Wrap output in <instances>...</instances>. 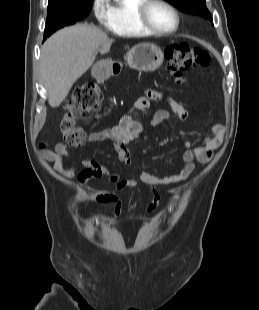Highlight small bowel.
I'll return each instance as SVG.
<instances>
[{"label": "small bowel", "instance_id": "obj_1", "mask_svg": "<svg viewBox=\"0 0 259 310\" xmlns=\"http://www.w3.org/2000/svg\"><path fill=\"white\" fill-rule=\"evenodd\" d=\"M165 101L170 106L172 112L180 119L188 118L189 113L185 107L175 100L166 97L163 94L150 92L138 99L132 108L121 114L116 123L109 127L94 131L89 134L87 143H110L117 153L118 163L120 165H130L131 156L127 149V144L135 140L142 132L143 126L135 119V116L143 114L147 111L149 104L154 100ZM170 120V114L166 110H159L155 113L151 120L154 127L167 124ZM213 135L206 137L202 145L191 149V143L185 141L183 143L186 151L183 154V167L173 175H155L147 171H140L137 177L121 178L119 169L109 172L107 166L94 158L85 159L80 163L66 166L64 159L70 156V147L65 144L58 143L52 149L46 144L40 145V157L54 164V169L65 178H77L78 183L82 187H87L88 181L94 178L108 177L109 181L115 185L116 191L113 193H105L92 191L91 196L98 202L111 204L113 206V214L108 216V220L114 224L122 213V203L119 193L126 188L134 187L138 182H143L152 188L153 199L147 210L149 212L155 210L160 202V195L157 188L165 185H172L186 180L195 169V161L200 163H208L214 152L221 146L224 137V127L221 124H215L212 127Z\"/></svg>", "mask_w": 259, "mask_h": 310}]
</instances>
